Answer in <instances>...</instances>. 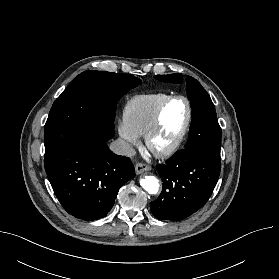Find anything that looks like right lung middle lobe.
Wrapping results in <instances>:
<instances>
[{"label": "right lung middle lobe", "instance_id": "dd1d6c3e", "mask_svg": "<svg viewBox=\"0 0 279 279\" xmlns=\"http://www.w3.org/2000/svg\"><path fill=\"white\" fill-rule=\"evenodd\" d=\"M141 84L131 74L88 70L79 74L55 100L45 124V170L79 142L89 124L114 129L117 101Z\"/></svg>", "mask_w": 279, "mask_h": 279}]
</instances>
